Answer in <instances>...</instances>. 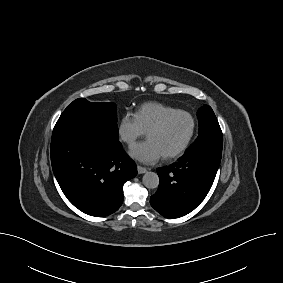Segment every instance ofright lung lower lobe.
Here are the masks:
<instances>
[{
	"instance_id": "1",
	"label": "right lung lower lobe",
	"mask_w": 283,
	"mask_h": 283,
	"mask_svg": "<svg viewBox=\"0 0 283 283\" xmlns=\"http://www.w3.org/2000/svg\"><path fill=\"white\" fill-rule=\"evenodd\" d=\"M51 164L67 199L82 212L107 216L123 203V184L137 175L119 140L86 129L53 130Z\"/></svg>"
}]
</instances>
